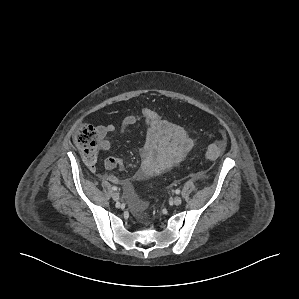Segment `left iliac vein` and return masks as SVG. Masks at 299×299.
I'll use <instances>...</instances> for the list:
<instances>
[{"mask_svg":"<svg viewBox=\"0 0 299 299\" xmlns=\"http://www.w3.org/2000/svg\"><path fill=\"white\" fill-rule=\"evenodd\" d=\"M173 203H174L175 205H180V204L182 203V199H181V197L176 196V197L173 199Z\"/></svg>","mask_w":299,"mask_h":299,"instance_id":"4c4485c4","label":"left iliac vein"}]
</instances>
